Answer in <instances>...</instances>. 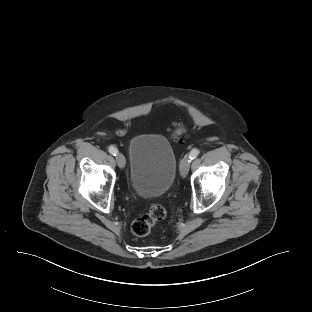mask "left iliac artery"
I'll list each match as a JSON object with an SVG mask.
<instances>
[{
  "label": "left iliac artery",
  "mask_w": 312,
  "mask_h": 312,
  "mask_svg": "<svg viewBox=\"0 0 312 312\" xmlns=\"http://www.w3.org/2000/svg\"><path fill=\"white\" fill-rule=\"evenodd\" d=\"M200 151L198 149H193L190 153H189V159L193 160L195 159L198 155H199Z\"/></svg>",
  "instance_id": "1"
}]
</instances>
